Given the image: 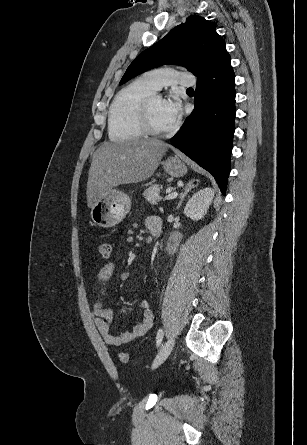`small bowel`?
<instances>
[{
	"instance_id": "small-bowel-1",
	"label": "small bowel",
	"mask_w": 307,
	"mask_h": 445,
	"mask_svg": "<svg viewBox=\"0 0 307 445\" xmlns=\"http://www.w3.org/2000/svg\"><path fill=\"white\" fill-rule=\"evenodd\" d=\"M146 226L150 233H152L153 231H158L160 233L162 229L161 220L157 216L148 217L146 220ZM114 272V263L108 262L103 265L99 270L97 276L99 284H106L111 279ZM140 308L142 310V319L140 320V322L131 331L116 336L110 332L112 311L105 308L102 299L100 297H97L92 306V315L105 343L114 347H120L145 335L153 326L154 315L147 300H142L140 302Z\"/></svg>"
}]
</instances>
